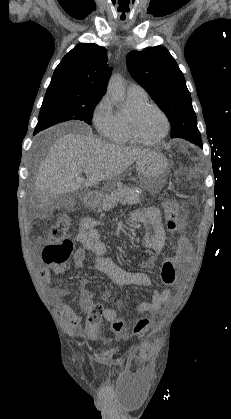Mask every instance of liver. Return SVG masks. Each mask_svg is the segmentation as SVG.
I'll list each match as a JSON object with an SVG mask.
<instances>
[{
	"mask_svg": "<svg viewBox=\"0 0 231 419\" xmlns=\"http://www.w3.org/2000/svg\"><path fill=\"white\" fill-rule=\"evenodd\" d=\"M148 149L121 147L93 137L90 133H69L58 138L40 164L35 189L45 196H61L113 180ZM90 169L86 179L82 173Z\"/></svg>",
	"mask_w": 231,
	"mask_h": 419,
	"instance_id": "1",
	"label": "liver"
}]
</instances>
